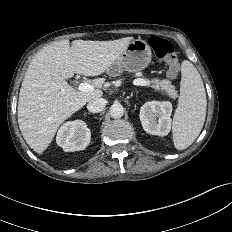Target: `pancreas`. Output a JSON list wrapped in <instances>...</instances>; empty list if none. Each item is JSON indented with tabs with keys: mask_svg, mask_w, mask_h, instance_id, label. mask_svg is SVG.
I'll return each instance as SVG.
<instances>
[{
	"mask_svg": "<svg viewBox=\"0 0 232 232\" xmlns=\"http://www.w3.org/2000/svg\"><path fill=\"white\" fill-rule=\"evenodd\" d=\"M151 82V87H153L156 90L165 91L166 94L172 98L176 99L178 97V92L175 89V86L171 84L169 80H159L154 79Z\"/></svg>",
	"mask_w": 232,
	"mask_h": 232,
	"instance_id": "1",
	"label": "pancreas"
}]
</instances>
